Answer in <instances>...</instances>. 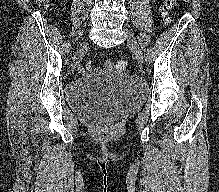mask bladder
Masks as SVG:
<instances>
[{
	"instance_id": "31cf9c89",
	"label": "bladder",
	"mask_w": 219,
	"mask_h": 192,
	"mask_svg": "<svg viewBox=\"0 0 219 192\" xmlns=\"http://www.w3.org/2000/svg\"><path fill=\"white\" fill-rule=\"evenodd\" d=\"M147 93L142 82L101 69L86 74L66 87L68 107L90 121L116 119L139 107Z\"/></svg>"
}]
</instances>
